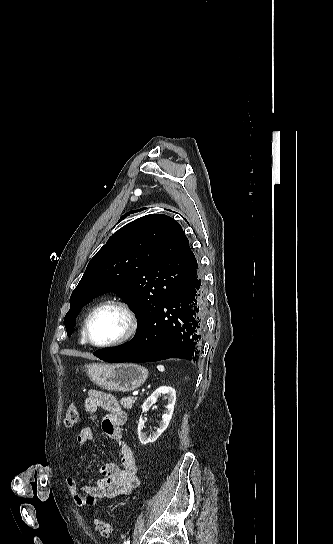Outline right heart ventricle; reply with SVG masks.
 I'll return each mask as SVG.
<instances>
[{"label":"right heart ventricle","mask_w":333,"mask_h":544,"mask_svg":"<svg viewBox=\"0 0 333 544\" xmlns=\"http://www.w3.org/2000/svg\"><path fill=\"white\" fill-rule=\"evenodd\" d=\"M81 343H82V344H85V343H86L85 340H84V337H83V332H82V335H81Z\"/></svg>","instance_id":"obj_1"}]
</instances>
